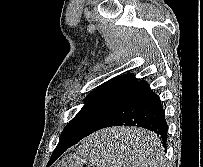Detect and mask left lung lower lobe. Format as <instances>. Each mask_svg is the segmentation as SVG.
I'll return each mask as SVG.
<instances>
[{"mask_svg":"<svg viewBox=\"0 0 203 167\" xmlns=\"http://www.w3.org/2000/svg\"><path fill=\"white\" fill-rule=\"evenodd\" d=\"M111 126H137L148 129L159 137L166 148L168 125L165 111L161 106L159 97L144 80L135 79L133 81L112 111L93 132ZM86 136L88 135L75 134L59 139L51 158L56 160L69 147ZM141 148L139 144L138 150Z\"/></svg>","mask_w":203,"mask_h":167,"instance_id":"left-lung-lower-lobe-1","label":"left lung lower lobe"}]
</instances>
